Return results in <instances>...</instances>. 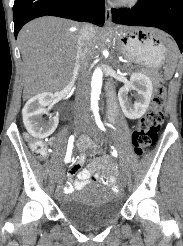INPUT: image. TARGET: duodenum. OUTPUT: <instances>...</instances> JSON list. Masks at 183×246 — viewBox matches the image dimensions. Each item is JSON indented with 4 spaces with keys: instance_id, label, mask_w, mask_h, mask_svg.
Masks as SVG:
<instances>
[{
    "instance_id": "duodenum-1",
    "label": "duodenum",
    "mask_w": 183,
    "mask_h": 246,
    "mask_svg": "<svg viewBox=\"0 0 183 246\" xmlns=\"http://www.w3.org/2000/svg\"><path fill=\"white\" fill-rule=\"evenodd\" d=\"M80 148L82 151H85L86 148H97L98 144L93 143L92 137L91 136H85L84 139L80 140Z\"/></svg>"
}]
</instances>
